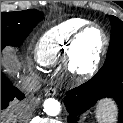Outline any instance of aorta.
<instances>
[{"mask_svg":"<svg viewBox=\"0 0 123 123\" xmlns=\"http://www.w3.org/2000/svg\"><path fill=\"white\" fill-rule=\"evenodd\" d=\"M44 112L49 116H56L60 113V102L54 98H48L43 104Z\"/></svg>","mask_w":123,"mask_h":123,"instance_id":"1","label":"aorta"}]
</instances>
